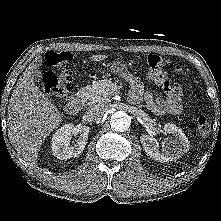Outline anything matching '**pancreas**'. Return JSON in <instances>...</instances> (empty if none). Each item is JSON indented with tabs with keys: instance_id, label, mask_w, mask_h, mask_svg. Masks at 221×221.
Instances as JSON below:
<instances>
[{
	"instance_id": "1",
	"label": "pancreas",
	"mask_w": 221,
	"mask_h": 221,
	"mask_svg": "<svg viewBox=\"0 0 221 221\" xmlns=\"http://www.w3.org/2000/svg\"><path fill=\"white\" fill-rule=\"evenodd\" d=\"M117 91L116 85L110 80H101L86 89L85 98L91 99L92 103H105Z\"/></svg>"
}]
</instances>
